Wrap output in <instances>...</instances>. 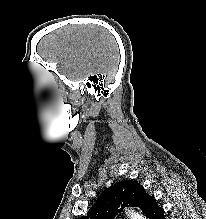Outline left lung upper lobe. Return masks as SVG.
<instances>
[{
    "instance_id": "left-lung-upper-lobe-1",
    "label": "left lung upper lobe",
    "mask_w": 206,
    "mask_h": 219,
    "mask_svg": "<svg viewBox=\"0 0 206 219\" xmlns=\"http://www.w3.org/2000/svg\"><path fill=\"white\" fill-rule=\"evenodd\" d=\"M152 199L153 197L146 193L140 183L126 180L106 189L87 215L78 219H114L117 213H120L127 205L140 207L147 215Z\"/></svg>"
}]
</instances>
